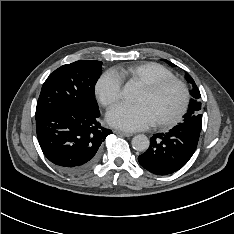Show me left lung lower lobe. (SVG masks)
I'll return each mask as SVG.
<instances>
[{
  "mask_svg": "<svg viewBox=\"0 0 234 234\" xmlns=\"http://www.w3.org/2000/svg\"><path fill=\"white\" fill-rule=\"evenodd\" d=\"M200 132L177 125L167 133L150 139L148 150L138 157L142 167L157 175L181 169L196 150Z\"/></svg>",
  "mask_w": 234,
  "mask_h": 234,
  "instance_id": "1",
  "label": "left lung lower lobe"
}]
</instances>
